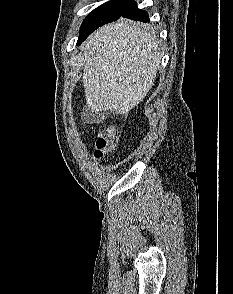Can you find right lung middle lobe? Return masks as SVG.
I'll list each match as a JSON object with an SVG mask.
<instances>
[{
    "mask_svg": "<svg viewBox=\"0 0 233 294\" xmlns=\"http://www.w3.org/2000/svg\"><path fill=\"white\" fill-rule=\"evenodd\" d=\"M132 0H111L94 9L83 21L80 35L90 29L121 17Z\"/></svg>",
    "mask_w": 233,
    "mask_h": 294,
    "instance_id": "obj_1",
    "label": "right lung middle lobe"
}]
</instances>
